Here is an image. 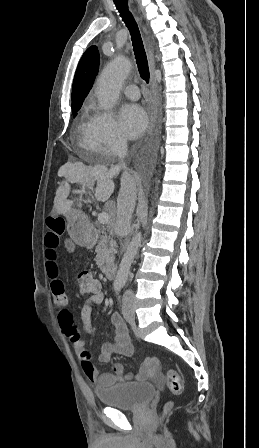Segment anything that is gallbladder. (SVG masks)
I'll return each instance as SVG.
<instances>
[{
	"mask_svg": "<svg viewBox=\"0 0 259 448\" xmlns=\"http://www.w3.org/2000/svg\"><path fill=\"white\" fill-rule=\"evenodd\" d=\"M67 246H68V250H71V252H73V250L75 248L73 242H67Z\"/></svg>",
	"mask_w": 259,
	"mask_h": 448,
	"instance_id": "obj_1",
	"label": "gallbladder"
}]
</instances>
